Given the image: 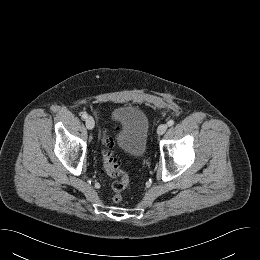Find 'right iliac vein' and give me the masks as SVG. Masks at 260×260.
<instances>
[{
    "label": "right iliac vein",
    "mask_w": 260,
    "mask_h": 260,
    "mask_svg": "<svg viewBox=\"0 0 260 260\" xmlns=\"http://www.w3.org/2000/svg\"><path fill=\"white\" fill-rule=\"evenodd\" d=\"M85 124H86V127H87L88 129L92 130V129L94 128V126H95L94 119H93L92 117H88V118L86 119Z\"/></svg>",
    "instance_id": "obj_1"
}]
</instances>
